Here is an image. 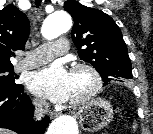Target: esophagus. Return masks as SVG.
<instances>
[{
  "label": "esophagus",
  "instance_id": "34e87169",
  "mask_svg": "<svg viewBox=\"0 0 153 134\" xmlns=\"http://www.w3.org/2000/svg\"><path fill=\"white\" fill-rule=\"evenodd\" d=\"M55 115H56V114H55V113H53V114H52V117H54Z\"/></svg>",
  "mask_w": 153,
  "mask_h": 134
}]
</instances>
